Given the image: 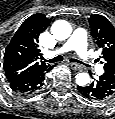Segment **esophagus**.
Instances as JSON below:
<instances>
[{
    "mask_svg": "<svg viewBox=\"0 0 115 119\" xmlns=\"http://www.w3.org/2000/svg\"><path fill=\"white\" fill-rule=\"evenodd\" d=\"M70 67L74 70H82L83 67L75 62H69Z\"/></svg>",
    "mask_w": 115,
    "mask_h": 119,
    "instance_id": "1",
    "label": "esophagus"
}]
</instances>
